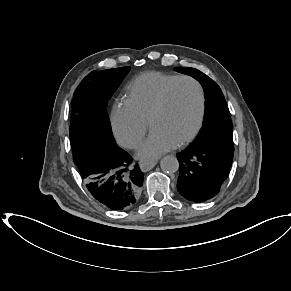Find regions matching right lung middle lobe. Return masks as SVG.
I'll use <instances>...</instances> for the list:
<instances>
[{"label":"right lung middle lobe","mask_w":291,"mask_h":291,"mask_svg":"<svg viewBox=\"0 0 291 291\" xmlns=\"http://www.w3.org/2000/svg\"><path fill=\"white\" fill-rule=\"evenodd\" d=\"M130 67L93 71L77 87L69 128L73 159L78 163L97 150L117 144L106 111L108 100L129 72Z\"/></svg>","instance_id":"1"}]
</instances>
